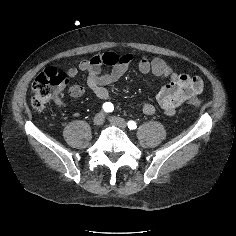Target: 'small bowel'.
<instances>
[{
	"label": "small bowel",
	"instance_id": "1",
	"mask_svg": "<svg viewBox=\"0 0 236 236\" xmlns=\"http://www.w3.org/2000/svg\"><path fill=\"white\" fill-rule=\"evenodd\" d=\"M134 62L137 63V68L141 73H151L164 81L156 94V100L168 116L174 115L178 107L203 90L204 83L200 76L177 74L173 72L168 63L160 58L149 59L143 55L137 60L132 53L117 55L108 52L95 55L90 59L81 61L77 67L69 68L67 70L69 78H75L79 72H85L87 82L86 86H70L68 92L70 96L77 98L83 96L89 89L98 98L109 100L111 99L109 86L121 79ZM103 65L111 66V71L102 73ZM57 103L64 105L61 100H57ZM142 110L146 115H153L156 112V107L151 103H146Z\"/></svg>",
	"mask_w": 236,
	"mask_h": 236
}]
</instances>
